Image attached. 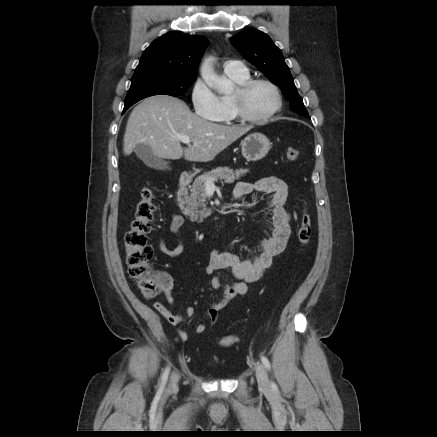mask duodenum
Segmentation results:
<instances>
[{"instance_id": "1", "label": "duodenum", "mask_w": 437, "mask_h": 437, "mask_svg": "<svg viewBox=\"0 0 437 437\" xmlns=\"http://www.w3.org/2000/svg\"><path fill=\"white\" fill-rule=\"evenodd\" d=\"M193 175L191 172H183L179 178L178 187L175 192V202L177 206L181 204V198L186 186L192 181Z\"/></svg>"}]
</instances>
